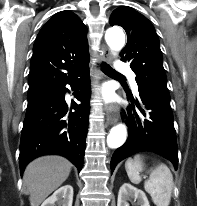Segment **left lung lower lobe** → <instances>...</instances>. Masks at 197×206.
Masks as SVG:
<instances>
[{
  "label": "left lung lower lobe",
  "mask_w": 197,
  "mask_h": 206,
  "mask_svg": "<svg viewBox=\"0 0 197 206\" xmlns=\"http://www.w3.org/2000/svg\"><path fill=\"white\" fill-rule=\"evenodd\" d=\"M138 91L139 95L136 98L131 92H127L132 108L136 105L140 113L127 110L129 135L124 145L112 156L111 173L121 160L139 151L158 153L169 159L177 169L178 148L170 101L142 90Z\"/></svg>",
  "instance_id": "1"
}]
</instances>
